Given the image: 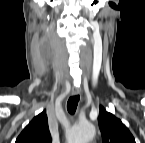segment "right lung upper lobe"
Wrapping results in <instances>:
<instances>
[{"label": "right lung upper lobe", "instance_id": "obj_1", "mask_svg": "<svg viewBox=\"0 0 145 143\" xmlns=\"http://www.w3.org/2000/svg\"><path fill=\"white\" fill-rule=\"evenodd\" d=\"M16 143H51L46 110L31 120L18 136Z\"/></svg>", "mask_w": 145, "mask_h": 143}]
</instances>
